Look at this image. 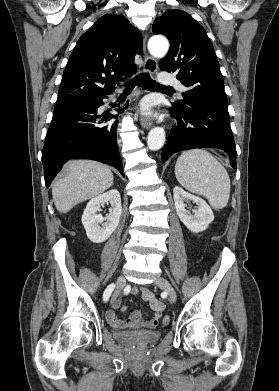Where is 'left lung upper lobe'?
Masks as SVG:
<instances>
[{"label": "left lung upper lobe", "instance_id": "obj_1", "mask_svg": "<svg viewBox=\"0 0 279 391\" xmlns=\"http://www.w3.org/2000/svg\"><path fill=\"white\" fill-rule=\"evenodd\" d=\"M152 31L164 34L171 43L160 68L177 72L176 78L188 88L183 100L174 103L184 106L187 101H200L228 113L223 76L204 28L188 13L172 10L154 21Z\"/></svg>", "mask_w": 279, "mask_h": 391}]
</instances>
